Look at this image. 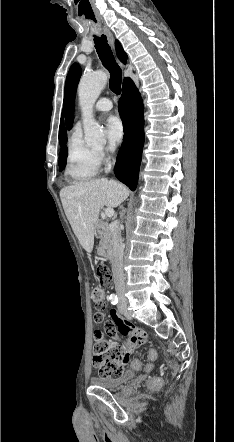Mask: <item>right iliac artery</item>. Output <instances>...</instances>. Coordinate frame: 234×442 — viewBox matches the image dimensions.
Segmentation results:
<instances>
[{"label": "right iliac artery", "instance_id": "1", "mask_svg": "<svg viewBox=\"0 0 234 442\" xmlns=\"http://www.w3.org/2000/svg\"><path fill=\"white\" fill-rule=\"evenodd\" d=\"M109 299H110L112 304H117L118 303V297L115 294H111Z\"/></svg>", "mask_w": 234, "mask_h": 442}]
</instances>
